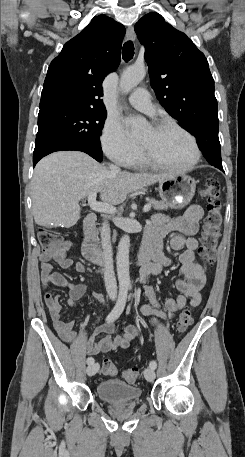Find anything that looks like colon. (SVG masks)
Here are the masks:
<instances>
[{"label":"colon","instance_id":"obj_1","mask_svg":"<svg viewBox=\"0 0 245 457\" xmlns=\"http://www.w3.org/2000/svg\"><path fill=\"white\" fill-rule=\"evenodd\" d=\"M202 196L207 200L208 214L204 222L199 254L204 261L212 263L222 225L219 181L215 178L208 179L203 185ZM38 240L41 244L43 255L46 256H54L62 247L61 236L46 228H40L38 230ZM193 321L190 308H185L178 317L177 330L179 332L186 331L192 325ZM102 371L106 375H115L117 370L114 363L106 359L103 362ZM121 374L125 381L134 382L140 377L141 371L137 367H131L124 369Z\"/></svg>","mask_w":245,"mask_h":457}]
</instances>
